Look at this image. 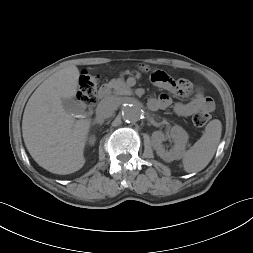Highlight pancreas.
Wrapping results in <instances>:
<instances>
[{"instance_id": "obj_1", "label": "pancreas", "mask_w": 253, "mask_h": 253, "mask_svg": "<svg viewBox=\"0 0 253 253\" xmlns=\"http://www.w3.org/2000/svg\"><path fill=\"white\" fill-rule=\"evenodd\" d=\"M112 87L111 96L118 97L119 95H130L132 92L123 79H114L111 81Z\"/></svg>"}]
</instances>
